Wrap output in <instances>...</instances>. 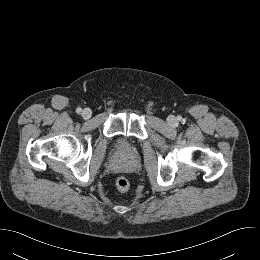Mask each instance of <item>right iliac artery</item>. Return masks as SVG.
I'll return each instance as SVG.
<instances>
[{
  "instance_id": "1",
  "label": "right iliac artery",
  "mask_w": 260,
  "mask_h": 260,
  "mask_svg": "<svg viewBox=\"0 0 260 260\" xmlns=\"http://www.w3.org/2000/svg\"><path fill=\"white\" fill-rule=\"evenodd\" d=\"M76 112H77L78 114H80V113L82 112V109H81V108H77V109H76Z\"/></svg>"
}]
</instances>
